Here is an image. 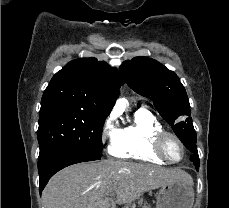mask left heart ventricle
<instances>
[{
    "label": "left heart ventricle",
    "instance_id": "obj_1",
    "mask_svg": "<svg viewBox=\"0 0 229 208\" xmlns=\"http://www.w3.org/2000/svg\"><path fill=\"white\" fill-rule=\"evenodd\" d=\"M176 139L174 138H169L168 139V144L169 147L167 148L168 153L171 154V157L174 160H179L181 159V157L183 156V148L181 146V144L175 141Z\"/></svg>",
    "mask_w": 229,
    "mask_h": 208
}]
</instances>
